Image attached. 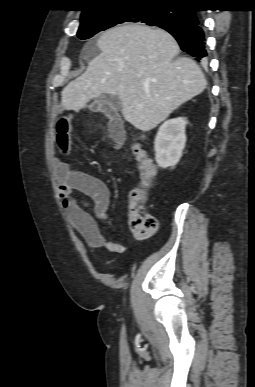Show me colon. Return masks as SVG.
Returning <instances> with one entry per match:
<instances>
[{
    "instance_id": "1",
    "label": "colon",
    "mask_w": 255,
    "mask_h": 387,
    "mask_svg": "<svg viewBox=\"0 0 255 387\" xmlns=\"http://www.w3.org/2000/svg\"><path fill=\"white\" fill-rule=\"evenodd\" d=\"M131 149L138 163L141 183L129 194L128 221L137 237L147 238L154 235L158 228L156 218L146 213V201L148 192L155 182L156 166L138 143H134Z\"/></svg>"
}]
</instances>
